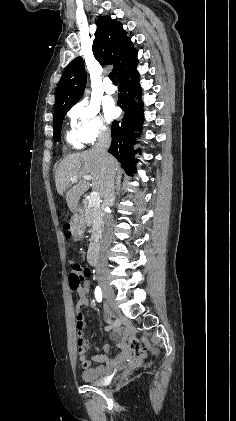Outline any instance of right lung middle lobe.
Segmentation results:
<instances>
[{
  "mask_svg": "<svg viewBox=\"0 0 236 421\" xmlns=\"http://www.w3.org/2000/svg\"><path fill=\"white\" fill-rule=\"evenodd\" d=\"M73 105L64 106V107L54 110L53 129H54L55 142H59L61 140V126H62L64 116Z\"/></svg>",
  "mask_w": 236,
  "mask_h": 421,
  "instance_id": "1",
  "label": "right lung middle lobe"
}]
</instances>
